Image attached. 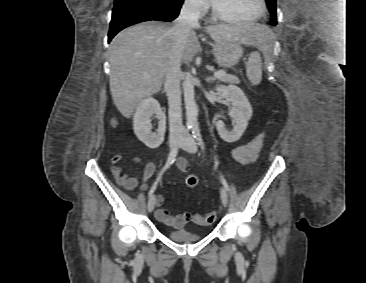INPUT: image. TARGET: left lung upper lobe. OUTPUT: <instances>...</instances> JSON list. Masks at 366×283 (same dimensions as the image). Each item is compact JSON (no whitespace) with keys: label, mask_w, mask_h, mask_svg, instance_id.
<instances>
[{"label":"left lung upper lobe","mask_w":366,"mask_h":283,"mask_svg":"<svg viewBox=\"0 0 366 283\" xmlns=\"http://www.w3.org/2000/svg\"><path fill=\"white\" fill-rule=\"evenodd\" d=\"M269 11L271 14V25L275 26L277 24V15H276V0H265Z\"/></svg>","instance_id":"5c2ea615"}]
</instances>
